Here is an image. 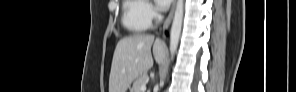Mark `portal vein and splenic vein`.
Wrapping results in <instances>:
<instances>
[{
	"instance_id": "1",
	"label": "portal vein and splenic vein",
	"mask_w": 296,
	"mask_h": 92,
	"mask_svg": "<svg viewBox=\"0 0 296 92\" xmlns=\"http://www.w3.org/2000/svg\"><path fill=\"white\" fill-rule=\"evenodd\" d=\"M145 90H146V86L145 85H142L141 86V92H145Z\"/></svg>"
}]
</instances>
